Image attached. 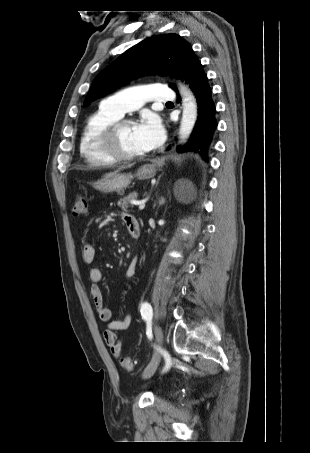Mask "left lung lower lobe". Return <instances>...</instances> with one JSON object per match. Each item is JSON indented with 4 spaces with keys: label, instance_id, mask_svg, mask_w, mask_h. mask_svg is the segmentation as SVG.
Listing matches in <instances>:
<instances>
[{
    "label": "left lung lower lobe",
    "instance_id": "0a47b994",
    "mask_svg": "<svg viewBox=\"0 0 310 453\" xmlns=\"http://www.w3.org/2000/svg\"><path fill=\"white\" fill-rule=\"evenodd\" d=\"M190 85L198 102V118L189 141L178 148V152L194 151L207 160V149L211 143L214 130L217 127L215 119V105L212 101V92L202 65L193 53L180 77ZM177 91L176 87L173 88ZM180 101V98L178 97Z\"/></svg>",
    "mask_w": 310,
    "mask_h": 453
}]
</instances>
